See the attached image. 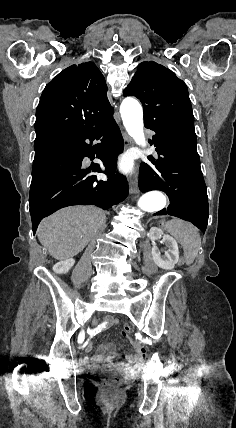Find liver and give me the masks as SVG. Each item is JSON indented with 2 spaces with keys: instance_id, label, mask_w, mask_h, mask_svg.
<instances>
[{
  "instance_id": "obj_1",
  "label": "liver",
  "mask_w": 236,
  "mask_h": 428,
  "mask_svg": "<svg viewBox=\"0 0 236 428\" xmlns=\"http://www.w3.org/2000/svg\"><path fill=\"white\" fill-rule=\"evenodd\" d=\"M106 216L94 206H70L40 222L37 236L52 258L66 260L77 256L93 240Z\"/></svg>"
}]
</instances>
